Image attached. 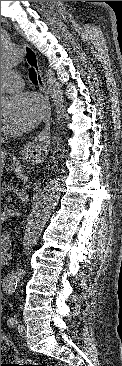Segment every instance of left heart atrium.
I'll use <instances>...</instances> for the list:
<instances>
[{"mask_svg":"<svg viewBox=\"0 0 122 366\" xmlns=\"http://www.w3.org/2000/svg\"><path fill=\"white\" fill-rule=\"evenodd\" d=\"M44 111V103L36 94L17 93L10 99L5 126L12 132L31 130L42 120Z\"/></svg>","mask_w":122,"mask_h":366,"instance_id":"1","label":"left heart atrium"}]
</instances>
